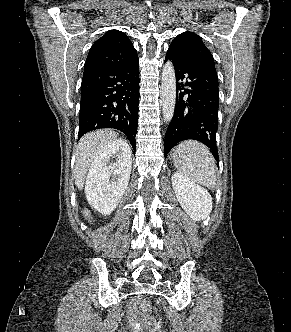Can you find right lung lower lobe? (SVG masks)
Instances as JSON below:
<instances>
[{
  "label": "right lung lower lobe",
  "mask_w": 291,
  "mask_h": 332,
  "mask_svg": "<svg viewBox=\"0 0 291 332\" xmlns=\"http://www.w3.org/2000/svg\"><path fill=\"white\" fill-rule=\"evenodd\" d=\"M139 59L84 72L81 84L79 138L100 128L127 135L134 152L139 105Z\"/></svg>",
  "instance_id": "right-lung-lower-lobe-1"
}]
</instances>
